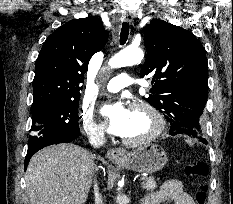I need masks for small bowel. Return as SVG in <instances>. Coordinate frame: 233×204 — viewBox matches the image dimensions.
Wrapping results in <instances>:
<instances>
[{"label": "small bowel", "instance_id": "obj_1", "mask_svg": "<svg viewBox=\"0 0 233 204\" xmlns=\"http://www.w3.org/2000/svg\"><path fill=\"white\" fill-rule=\"evenodd\" d=\"M195 204L193 198L185 192L181 181L176 179L167 180L161 187L144 197L142 204Z\"/></svg>", "mask_w": 233, "mask_h": 204}]
</instances>
